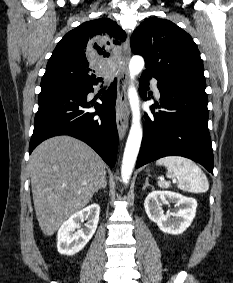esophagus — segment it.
Wrapping results in <instances>:
<instances>
[{"label":"esophagus","instance_id":"esophagus-1","mask_svg":"<svg viewBox=\"0 0 233 283\" xmlns=\"http://www.w3.org/2000/svg\"><path fill=\"white\" fill-rule=\"evenodd\" d=\"M131 56L130 39L123 44L122 63L118 73V94L116 103V123L120 139L124 138L128 128L127 85L128 64Z\"/></svg>","mask_w":233,"mask_h":283}]
</instances>
